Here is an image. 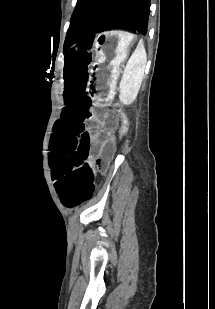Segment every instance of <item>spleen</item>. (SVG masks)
Returning <instances> with one entry per match:
<instances>
[{
  "label": "spleen",
  "instance_id": "3e777b00",
  "mask_svg": "<svg viewBox=\"0 0 215 309\" xmlns=\"http://www.w3.org/2000/svg\"><path fill=\"white\" fill-rule=\"evenodd\" d=\"M147 54L142 40H139L132 56H130L122 80L120 82V102L131 104L134 102L144 76Z\"/></svg>",
  "mask_w": 215,
  "mask_h": 309
}]
</instances>
